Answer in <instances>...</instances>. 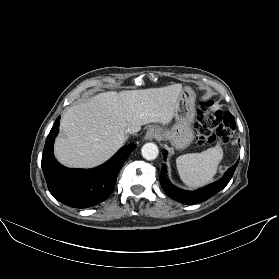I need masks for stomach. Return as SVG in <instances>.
Masks as SVG:
<instances>
[{"label": "stomach", "instance_id": "0dacf381", "mask_svg": "<svg viewBox=\"0 0 279 279\" xmlns=\"http://www.w3.org/2000/svg\"><path fill=\"white\" fill-rule=\"evenodd\" d=\"M195 116V93L189 86L182 88L173 127L160 128L159 138L169 141L176 149H185L194 139L192 122Z\"/></svg>", "mask_w": 279, "mask_h": 279}]
</instances>
